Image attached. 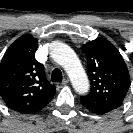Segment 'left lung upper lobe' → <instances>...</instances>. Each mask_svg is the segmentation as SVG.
Masks as SVG:
<instances>
[{"label":"left lung upper lobe","mask_w":133,"mask_h":133,"mask_svg":"<svg viewBox=\"0 0 133 133\" xmlns=\"http://www.w3.org/2000/svg\"><path fill=\"white\" fill-rule=\"evenodd\" d=\"M87 56L91 91L81 103L97 114L108 113L121 106L130 86L127 66L109 41L98 38L83 45Z\"/></svg>","instance_id":"1"}]
</instances>
